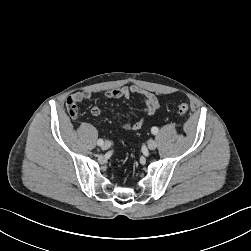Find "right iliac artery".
<instances>
[{
	"label": "right iliac artery",
	"mask_w": 251,
	"mask_h": 251,
	"mask_svg": "<svg viewBox=\"0 0 251 251\" xmlns=\"http://www.w3.org/2000/svg\"><path fill=\"white\" fill-rule=\"evenodd\" d=\"M103 143H104V141H103L102 139H98L97 144H98L99 146H102Z\"/></svg>",
	"instance_id": "1"
}]
</instances>
